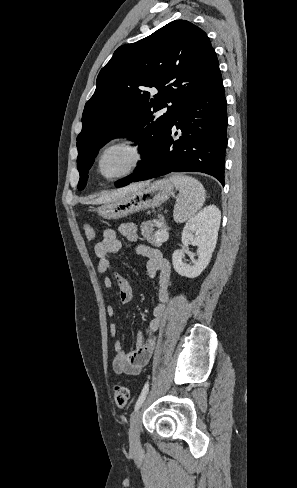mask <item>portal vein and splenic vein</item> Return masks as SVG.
<instances>
[{
  "mask_svg": "<svg viewBox=\"0 0 297 488\" xmlns=\"http://www.w3.org/2000/svg\"><path fill=\"white\" fill-rule=\"evenodd\" d=\"M161 233H163V231H162V230H161V231H157V232H156V235H159V234H161Z\"/></svg>",
  "mask_w": 297,
  "mask_h": 488,
  "instance_id": "portal-vein-and-splenic-vein-1",
  "label": "portal vein and splenic vein"
}]
</instances>
